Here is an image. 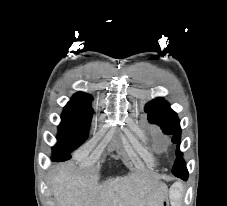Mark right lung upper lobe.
<instances>
[{"label": "right lung upper lobe", "mask_w": 227, "mask_h": 206, "mask_svg": "<svg viewBox=\"0 0 227 206\" xmlns=\"http://www.w3.org/2000/svg\"><path fill=\"white\" fill-rule=\"evenodd\" d=\"M91 99L92 97L90 95L81 92L76 93L72 98V100H91Z\"/></svg>", "instance_id": "1"}]
</instances>
